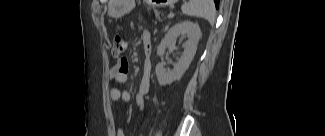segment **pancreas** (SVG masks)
<instances>
[{
	"mask_svg": "<svg viewBox=\"0 0 325 136\" xmlns=\"http://www.w3.org/2000/svg\"><path fill=\"white\" fill-rule=\"evenodd\" d=\"M142 19H153L154 24H161L162 18H161V10L156 9L155 6H150L148 12H142Z\"/></svg>",
	"mask_w": 325,
	"mask_h": 136,
	"instance_id": "pancreas-1",
	"label": "pancreas"
}]
</instances>
